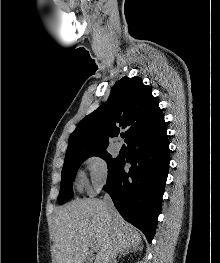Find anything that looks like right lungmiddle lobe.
I'll use <instances>...</instances> for the list:
<instances>
[{"mask_svg":"<svg viewBox=\"0 0 220 263\" xmlns=\"http://www.w3.org/2000/svg\"><path fill=\"white\" fill-rule=\"evenodd\" d=\"M92 156H98L103 158L107 162L108 169H110L118 160V157L112 158V156L106 151V149L88 152L67 153L65 157V163L62 169L60 193L58 196L59 204H63L73 197L72 184L76 176L77 170L83 161Z\"/></svg>","mask_w":220,"mask_h":263,"instance_id":"right-lung-middle-lobe-1","label":"right lung middle lobe"}]
</instances>
